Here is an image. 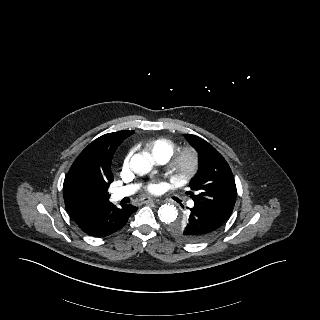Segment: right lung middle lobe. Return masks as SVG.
<instances>
[{"label":"right lung middle lobe","mask_w":320,"mask_h":320,"mask_svg":"<svg viewBox=\"0 0 320 320\" xmlns=\"http://www.w3.org/2000/svg\"><path fill=\"white\" fill-rule=\"evenodd\" d=\"M109 185L101 180H87L72 187V192L85 206L98 205L108 200Z\"/></svg>","instance_id":"right-lung-middle-lobe-1"}]
</instances>
